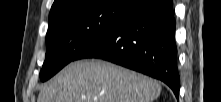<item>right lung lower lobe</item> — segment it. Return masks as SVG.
Returning <instances> with one entry per match:
<instances>
[{"mask_svg": "<svg viewBox=\"0 0 221 102\" xmlns=\"http://www.w3.org/2000/svg\"><path fill=\"white\" fill-rule=\"evenodd\" d=\"M176 21L171 0H144L76 58H99L167 84L179 97Z\"/></svg>", "mask_w": 221, "mask_h": 102, "instance_id": "1", "label": "right lung lower lobe"}]
</instances>
